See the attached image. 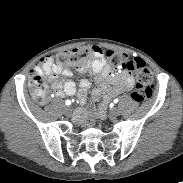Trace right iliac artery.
Masks as SVG:
<instances>
[{"label": "right iliac artery", "instance_id": "82829eb1", "mask_svg": "<svg viewBox=\"0 0 183 183\" xmlns=\"http://www.w3.org/2000/svg\"><path fill=\"white\" fill-rule=\"evenodd\" d=\"M66 105H70L71 104V101L70 100H66Z\"/></svg>", "mask_w": 183, "mask_h": 183}]
</instances>
